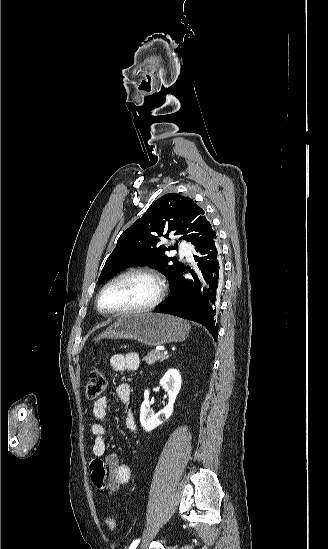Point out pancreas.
Returning <instances> with one entry per match:
<instances>
[{"label":"pancreas","instance_id":"obj_1","mask_svg":"<svg viewBox=\"0 0 328 549\" xmlns=\"http://www.w3.org/2000/svg\"><path fill=\"white\" fill-rule=\"evenodd\" d=\"M167 357L162 355V353H157V351H151L148 353L147 357H144L143 361H146L147 365H154L156 361H165Z\"/></svg>","mask_w":328,"mask_h":549}]
</instances>
